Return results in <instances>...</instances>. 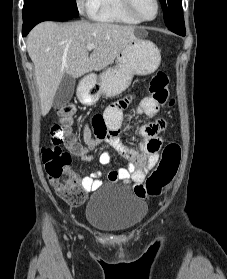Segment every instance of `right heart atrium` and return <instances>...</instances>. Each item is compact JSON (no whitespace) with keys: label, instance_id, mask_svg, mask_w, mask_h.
I'll use <instances>...</instances> for the list:
<instances>
[{"label":"right heart atrium","instance_id":"d8ad5b80","mask_svg":"<svg viewBox=\"0 0 227 279\" xmlns=\"http://www.w3.org/2000/svg\"><path fill=\"white\" fill-rule=\"evenodd\" d=\"M91 0H77L78 6L80 8L89 9Z\"/></svg>","mask_w":227,"mask_h":279}]
</instances>
